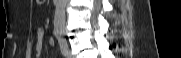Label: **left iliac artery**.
<instances>
[{"label": "left iliac artery", "instance_id": "obj_1", "mask_svg": "<svg viewBox=\"0 0 181 58\" xmlns=\"http://www.w3.org/2000/svg\"><path fill=\"white\" fill-rule=\"evenodd\" d=\"M58 41H59V46H60L62 54L64 56H67V54H68V45H67V42H66V40H65V38L63 37L62 34H60L58 36Z\"/></svg>", "mask_w": 181, "mask_h": 58}]
</instances>
